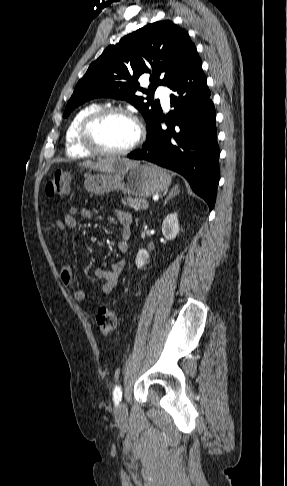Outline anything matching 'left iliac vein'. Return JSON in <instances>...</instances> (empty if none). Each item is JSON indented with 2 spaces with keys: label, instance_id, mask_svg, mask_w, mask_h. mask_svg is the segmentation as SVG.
Segmentation results:
<instances>
[{
  "label": "left iliac vein",
  "instance_id": "obj_1",
  "mask_svg": "<svg viewBox=\"0 0 287 486\" xmlns=\"http://www.w3.org/2000/svg\"><path fill=\"white\" fill-rule=\"evenodd\" d=\"M126 405L124 402L119 403L115 408V415L117 418H124L126 416Z\"/></svg>",
  "mask_w": 287,
  "mask_h": 486
}]
</instances>
